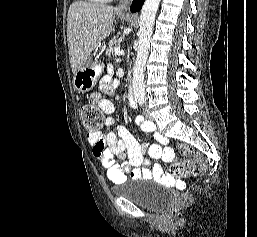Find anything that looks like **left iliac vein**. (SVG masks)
I'll return each instance as SVG.
<instances>
[{"mask_svg": "<svg viewBox=\"0 0 257 237\" xmlns=\"http://www.w3.org/2000/svg\"><path fill=\"white\" fill-rule=\"evenodd\" d=\"M144 115H145V117H146L148 120H152V119H153L152 116H151V114H150L149 109H147V108L144 110Z\"/></svg>", "mask_w": 257, "mask_h": 237, "instance_id": "1", "label": "left iliac vein"}]
</instances>
